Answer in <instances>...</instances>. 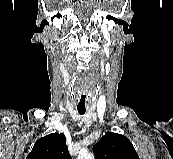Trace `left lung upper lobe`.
<instances>
[{"label": "left lung upper lobe", "instance_id": "1", "mask_svg": "<svg viewBox=\"0 0 173 159\" xmlns=\"http://www.w3.org/2000/svg\"><path fill=\"white\" fill-rule=\"evenodd\" d=\"M96 159H139L132 143L123 135L107 132L93 146Z\"/></svg>", "mask_w": 173, "mask_h": 159}]
</instances>
